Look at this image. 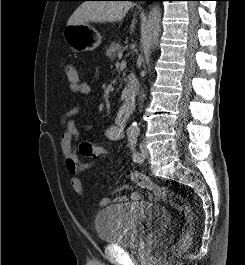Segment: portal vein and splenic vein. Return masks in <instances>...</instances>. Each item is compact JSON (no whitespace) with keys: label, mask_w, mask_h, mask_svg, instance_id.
I'll use <instances>...</instances> for the list:
<instances>
[{"label":"portal vein and splenic vein","mask_w":245,"mask_h":265,"mask_svg":"<svg viewBox=\"0 0 245 265\" xmlns=\"http://www.w3.org/2000/svg\"><path fill=\"white\" fill-rule=\"evenodd\" d=\"M122 56H123L122 52H119V53H118V58L121 59Z\"/></svg>","instance_id":"1"}]
</instances>
